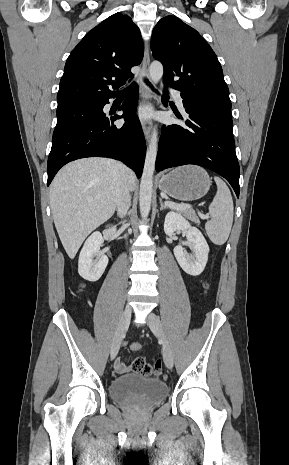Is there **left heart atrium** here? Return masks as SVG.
Wrapping results in <instances>:
<instances>
[{
	"instance_id": "obj_1",
	"label": "left heart atrium",
	"mask_w": 289,
	"mask_h": 465,
	"mask_svg": "<svg viewBox=\"0 0 289 465\" xmlns=\"http://www.w3.org/2000/svg\"><path fill=\"white\" fill-rule=\"evenodd\" d=\"M137 114H138L139 117H141V118L144 119V118H146V117L148 116L149 113H148V111H147L146 109L140 108V109L137 111Z\"/></svg>"
}]
</instances>
